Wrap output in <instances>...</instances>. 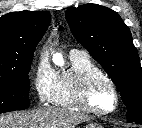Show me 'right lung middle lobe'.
<instances>
[{"mask_svg": "<svg viewBox=\"0 0 142 128\" xmlns=\"http://www.w3.org/2000/svg\"><path fill=\"white\" fill-rule=\"evenodd\" d=\"M32 60L18 68L0 73V113L29 107V71Z\"/></svg>", "mask_w": 142, "mask_h": 128, "instance_id": "obj_1", "label": "right lung middle lobe"}]
</instances>
